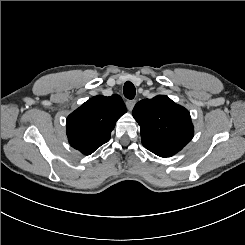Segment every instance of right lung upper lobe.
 <instances>
[{
    "label": "right lung upper lobe",
    "mask_w": 245,
    "mask_h": 245,
    "mask_svg": "<svg viewBox=\"0 0 245 245\" xmlns=\"http://www.w3.org/2000/svg\"><path fill=\"white\" fill-rule=\"evenodd\" d=\"M127 111L122 98L95 96L71 113L67 120L70 145L84 155H90L108 142L117 120Z\"/></svg>",
    "instance_id": "right-lung-upper-lobe-1"
}]
</instances>
